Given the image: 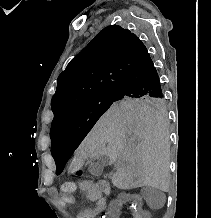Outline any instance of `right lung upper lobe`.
I'll list each match as a JSON object with an SVG mask.
<instances>
[{
	"label": "right lung upper lobe",
	"mask_w": 211,
	"mask_h": 218,
	"mask_svg": "<svg viewBox=\"0 0 211 218\" xmlns=\"http://www.w3.org/2000/svg\"><path fill=\"white\" fill-rule=\"evenodd\" d=\"M149 56L142 41L129 30L104 28L59 75L51 101L53 121L91 98L116 92Z\"/></svg>",
	"instance_id": "1"
}]
</instances>
